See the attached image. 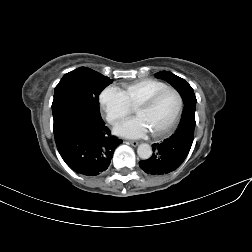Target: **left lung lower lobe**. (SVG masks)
Here are the masks:
<instances>
[{"mask_svg":"<svg viewBox=\"0 0 252 252\" xmlns=\"http://www.w3.org/2000/svg\"><path fill=\"white\" fill-rule=\"evenodd\" d=\"M196 98L189 97L181 121L169 138L161 143L153 144V155L139 162L141 169L147 174L160 175L176 170L187 157L194 139Z\"/></svg>","mask_w":252,"mask_h":252,"instance_id":"obj_1","label":"left lung lower lobe"}]
</instances>
